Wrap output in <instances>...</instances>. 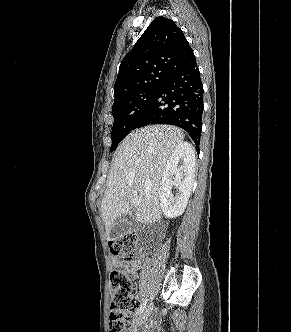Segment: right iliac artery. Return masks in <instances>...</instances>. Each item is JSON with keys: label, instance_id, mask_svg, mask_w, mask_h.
<instances>
[{"label": "right iliac artery", "instance_id": "obj_1", "mask_svg": "<svg viewBox=\"0 0 291 332\" xmlns=\"http://www.w3.org/2000/svg\"><path fill=\"white\" fill-rule=\"evenodd\" d=\"M146 304H147V300L145 299L143 301V303L141 304L140 308L137 310L136 314H141L144 311Z\"/></svg>", "mask_w": 291, "mask_h": 332}]
</instances>
